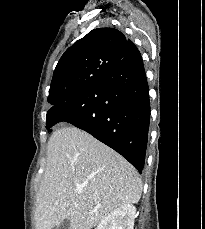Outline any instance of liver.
Masks as SVG:
<instances>
[{"instance_id": "obj_1", "label": "liver", "mask_w": 205, "mask_h": 229, "mask_svg": "<svg viewBox=\"0 0 205 229\" xmlns=\"http://www.w3.org/2000/svg\"><path fill=\"white\" fill-rule=\"evenodd\" d=\"M141 193L138 172L120 154L76 127L58 128L48 140L36 229L67 218L70 229H91L117 207L137 203Z\"/></svg>"}]
</instances>
